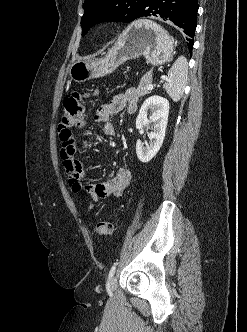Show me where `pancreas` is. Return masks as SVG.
<instances>
[{
  "label": "pancreas",
  "instance_id": "obj_1",
  "mask_svg": "<svg viewBox=\"0 0 247 332\" xmlns=\"http://www.w3.org/2000/svg\"><path fill=\"white\" fill-rule=\"evenodd\" d=\"M151 81L152 75L150 73L145 74L141 78L138 88L136 90L137 97H141L149 93L147 86L151 83Z\"/></svg>",
  "mask_w": 247,
  "mask_h": 332
}]
</instances>
